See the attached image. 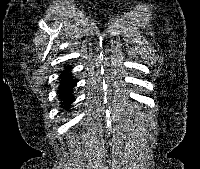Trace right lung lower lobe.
<instances>
[{
    "mask_svg": "<svg viewBox=\"0 0 200 169\" xmlns=\"http://www.w3.org/2000/svg\"><path fill=\"white\" fill-rule=\"evenodd\" d=\"M70 69L67 67L60 76V87H59V97L61 99V107L66 110L69 109L70 104L73 101V85L76 84V81L73 80Z\"/></svg>",
    "mask_w": 200,
    "mask_h": 169,
    "instance_id": "98d812e1",
    "label": "right lung lower lobe"
}]
</instances>
